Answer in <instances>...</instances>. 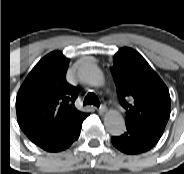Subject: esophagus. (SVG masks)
I'll use <instances>...</instances> for the list:
<instances>
[{"instance_id":"1","label":"esophagus","mask_w":184,"mask_h":174,"mask_svg":"<svg viewBox=\"0 0 184 174\" xmlns=\"http://www.w3.org/2000/svg\"><path fill=\"white\" fill-rule=\"evenodd\" d=\"M98 111L100 113L106 112L107 111V106L105 104H101L100 107H99V109H98Z\"/></svg>"}]
</instances>
